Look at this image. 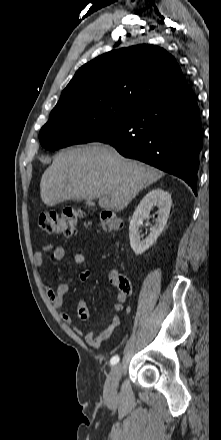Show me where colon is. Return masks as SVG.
Here are the masks:
<instances>
[{
	"mask_svg": "<svg viewBox=\"0 0 221 440\" xmlns=\"http://www.w3.org/2000/svg\"><path fill=\"white\" fill-rule=\"evenodd\" d=\"M84 213L75 208H65L60 212L45 211L39 215V228L46 233H60L70 237L77 233ZM98 227L105 232H116L122 228L121 218L112 211H105L98 220ZM118 291L127 296L132 292L130 280L123 275L116 278Z\"/></svg>",
	"mask_w": 221,
	"mask_h": 440,
	"instance_id": "obj_1",
	"label": "colon"
}]
</instances>
